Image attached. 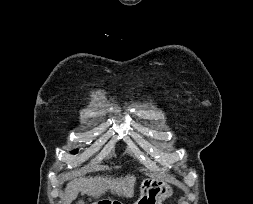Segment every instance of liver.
Wrapping results in <instances>:
<instances>
[{
  "mask_svg": "<svg viewBox=\"0 0 253 204\" xmlns=\"http://www.w3.org/2000/svg\"><path fill=\"white\" fill-rule=\"evenodd\" d=\"M134 181V177L129 179L128 184L107 176L75 177L66 186L63 204H71L77 198L79 192L82 195L87 194L94 198L100 197L108 190L112 192L128 191L129 195H131L134 189ZM78 204H84V202L80 201Z\"/></svg>",
  "mask_w": 253,
  "mask_h": 204,
  "instance_id": "liver-1",
  "label": "liver"
}]
</instances>
